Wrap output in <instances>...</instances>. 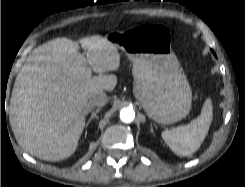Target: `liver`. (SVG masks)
Returning a JSON list of instances; mask_svg holds the SVG:
<instances>
[{
    "label": "liver",
    "instance_id": "1",
    "mask_svg": "<svg viewBox=\"0 0 245 187\" xmlns=\"http://www.w3.org/2000/svg\"><path fill=\"white\" fill-rule=\"evenodd\" d=\"M119 66L118 47L99 35L79 41L56 38L35 48L15 79L10 99V125L18 144L43 160L70 157L91 111L90 96L112 91L117 84L114 74L102 73ZM88 68L99 75L92 77Z\"/></svg>",
    "mask_w": 245,
    "mask_h": 187
}]
</instances>
